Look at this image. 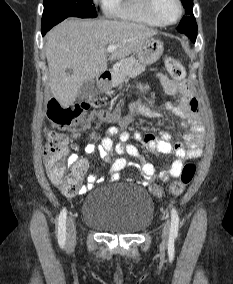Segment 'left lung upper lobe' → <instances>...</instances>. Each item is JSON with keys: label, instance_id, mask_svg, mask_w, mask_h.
I'll list each match as a JSON object with an SVG mask.
<instances>
[{"label": "left lung upper lobe", "instance_id": "1", "mask_svg": "<svg viewBox=\"0 0 233 284\" xmlns=\"http://www.w3.org/2000/svg\"><path fill=\"white\" fill-rule=\"evenodd\" d=\"M188 17H183L180 24L178 25V31L187 35L190 39L196 38L197 36V24L192 14L193 0H181Z\"/></svg>", "mask_w": 233, "mask_h": 284}]
</instances>
